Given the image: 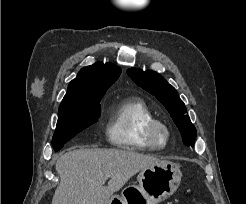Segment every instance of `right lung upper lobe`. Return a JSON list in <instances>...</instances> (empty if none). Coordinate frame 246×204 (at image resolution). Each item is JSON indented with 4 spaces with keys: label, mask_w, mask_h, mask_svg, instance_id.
I'll use <instances>...</instances> for the list:
<instances>
[{
    "label": "right lung upper lobe",
    "mask_w": 246,
    "mask_h": 204,
    "mask_svg": "<svg viewBox=\"0 0 246 204\" xmlns=\"http://www.w3.org/2000/svg\"><path fill=\"white\" fill-rule=\"evenodd\" d=\"M121 69L111 63H95L80 70L68 86L61 104L75 103L89 97L103 96L118 79Z\"/></svg>",
    "instance_id": "1"
}]
</instances>
